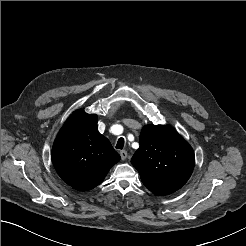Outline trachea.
Returning <instances> with one entry per match:
<instances>
[{
    "mask_svg": "<svg viewBox=\"0 0 246 246\" xmlns=\"http://www.w3.org/2000/svg\"><path fill=\"white\" fill-rule=\"evenodd\" d=\"M123 147H124V139L123 138H119L118 142H117V145H116V148L117 149H123Z\"/></svg>",
    "mask_w": 246,
    "mask_h": 246,
    "instance_id": "3493384b",
    "label": "trachea"
}]
</instances>
